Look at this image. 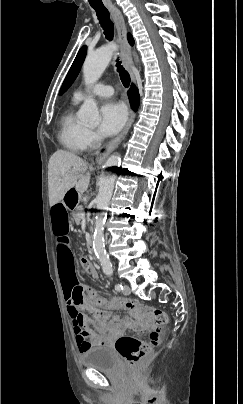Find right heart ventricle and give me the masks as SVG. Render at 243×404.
I'll return each instance as SVG.
<instances>
[{"instance_id": "e07e8e85", "label": "right heart ventricle", "mask_w": 243, "mask_h": 404, "mask_svg": "<svg viewBox=\"0 0 243 404\" xmlns=\"http://www.w3.org/2000/svg\"><path fill=\"white\" fill-rule=\"evenodd\" d=\"M80 101L81 98L75 91L71 106L59 119L58 142L64 151L73 154H82L86 150L84 141L86 127L75 116V107Z\"/></svg>"}]
</instances>
